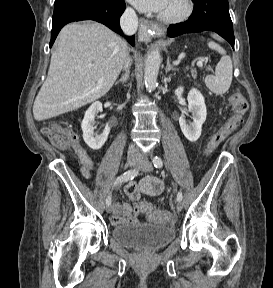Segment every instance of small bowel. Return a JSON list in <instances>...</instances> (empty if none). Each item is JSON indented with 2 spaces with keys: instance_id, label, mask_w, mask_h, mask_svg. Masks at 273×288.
Returning <instances> with one entry per match:
<instances>
[{
  "instance_id": "small-bowel-1",
  "label": "small bowel",
  "mask_w": 273,
  "mask_h": 288,
  "mask_svg": "<svg viewBox=\"0 0 273 288\" xmlns=\"http://www.w3.org/2000/svg\"><path fill=\"white\" fill-rule=\"evenodd\" d=\"M75 151L82 166L83 176L89 178L93 170V161L78 143L75 144ZM163 189V182L152 176L143 178L138 184L133 181L128 182L125 186V192L129 199L134 202V206L132 207L128 203H116L114 206L112 223L121 224L137 222L139 216L144 213L139 207V204H137L140 195L146 194L149 196H157L163 192Z\"/></svg>"
}]
</instances>
